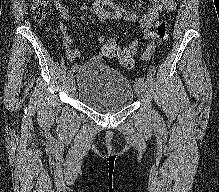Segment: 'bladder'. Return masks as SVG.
<instances>
[{"instance_id":"31cf9c89","label":"bladder","mask_w":219,"mask_h":192,"mask_svg":"<svg viewBox=\"0 0 219 192\" xmlns=\"http://www.w3.org/2000/svg\"><path fill=\"white\" fill-rule=\"evenodd\" d=\"M75 93L83 105L100 113L127 108L135 96L126 76L100 62H89L78 69Z\"/></svg>"}]
</instances>
